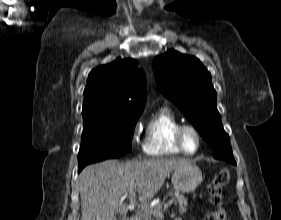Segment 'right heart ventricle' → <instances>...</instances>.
Returning <instances> with one entry per match:
<instances>
[{"label": "right heart ventricle", "instance_id": "obj_1", "mask_svg": "<svg viewBox=\"0 0 281 220\" xmlns=\"http://www.w3.org/2000/svg\"><path fill=\"white\" fill-rule=\"evenodd\" d=\"M179 119L167 107H160L146 126L143 150L149 156L179 155L183 152L175 142Z\"/></svg>", "mask_w": 281, "mask_h": 220}]
</instances>
